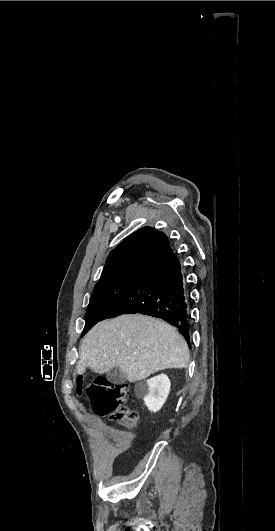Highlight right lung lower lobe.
<instances>
[{
  "mask_svg": "<svg viewBox=\"0 0 275 531\" xmlns=\"http://www.w3.org/2000/svg\"><path fill=\"white\" fill-rule=\"evenodd\" d=\"M125 313L161 318L175 326L190 344L187 288L180 261L170 246L144 269L102 320Z\"/></svg>",
  "mask_w": 275,
  "mask_h": 531,
  "instance_id": "right-lung-lower-lobe-1",
  "label": "right lung lower lobe"
}]
</instances>
